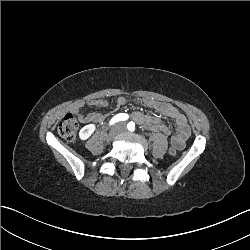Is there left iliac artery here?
Returning <instances> with one entry per match:
<instances>
[{
	"label": "left iliac artery",
	"instance_id": "44dca946",
	"mask_svg": "<svg viewBox=\"0 0 250 250\" xmlns=\"http://www.w3.org/2000/svg\"><path fill=\"white\" fill-rule=\"evenodd\" d=\"M127 128H128V130L129 131H134L135 130V123L134 122H129L128 124H127Z\"/></svg>",
	"mask_w": 250,
	"mask_h": 250
}]
</instances>
